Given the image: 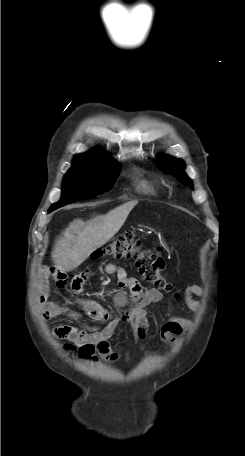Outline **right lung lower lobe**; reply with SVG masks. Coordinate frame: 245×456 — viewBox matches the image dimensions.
<instances>
[{
    "label": "right lung lower lobe",
    "mask_w": 245,
    "mask_h": 456,
    "mask_svg": "<svg viewBox=\"0 0 245 456\" xmlns=\"http://www.w3.org/2000/svg\"><path fill=\"white\" fill-rule=\"evenodd\" d=\"M52 211H54V210L53 209H49V212H52Z\"/></svg>",
    "instance_id": "obj_1"
}]
</instances>
